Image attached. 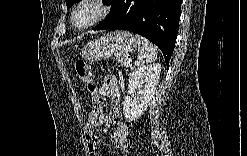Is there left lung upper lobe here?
Returning <instances> with one entry per match:
<instances>
[{"instance_id": "5c2ea615", "label": "left lung upper lobe", "mask_w": 247, "mask_h": 156, "mask_svg": "<svg viewBox=\"0 0 247 156\" xmlns=\"http://www.w3.org/2000/svg\"><path fill=\"white\" fill-rule=\"evenodd\" d=\"M118 0H110L109 3L111 4V9L114 7V5L117 3ZM77 0H66L67 7H71Z\"/></svg>"}]
</instances>
